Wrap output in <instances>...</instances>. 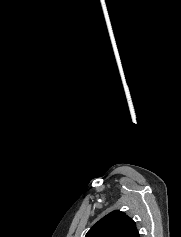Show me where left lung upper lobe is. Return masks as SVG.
I'll list each match as a JSON object with an SVG mask.
<instances>
[{
  "instance_id": "left-lung-upper-lobe-1",
  "label": "left lung upper lobe",
  "mask_w": 181,
  "mask_h": 237,
  "mask_svg": "<svg viewBox=\"0 0 181 237\" xmlns=\"http://www.w3.org/2000/svg\"><path fill=\"white\" fill-rule=\"evenodd\" d=\"M86 237H140V234L130 217L115 210L93 225Z\"/></svg>"
}]
</instances>
